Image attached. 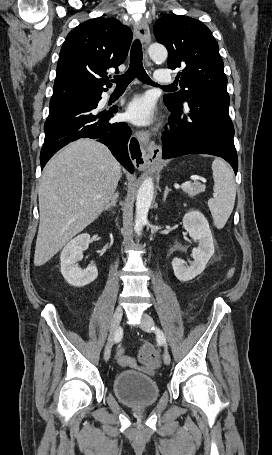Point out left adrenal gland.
Returning a JSON list of instances; mask_svg holds the SVG:
<instances>
[{"instance_id":"1","label":"left adrenal gland","mask_w":272,"mask_h":455,"mask_svg":"<svg viewBox=\"0 0 272 455\" xmlns=\"http://www.w3.org/2000/svg\"><path fill=\"white\" fill-rule=\"evenodd\" d=\"M170 191H171V190L168 188V186H166L165 191H164V196H163V201H164V202L166 201L167 195H168V193H169Z\"/></svg>"}]
</instances>
